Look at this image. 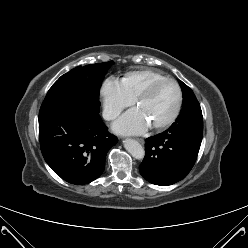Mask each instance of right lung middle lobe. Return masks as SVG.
Returning a JSON list of instances; mask_svg holds the SVG:
<instances>
[{
	"mask_svg": "<svg viewBox=\"0 0 248 248\" xmlns=\"http://www.w3.org/2000/svg\"><path fill=\"white\" fill-rule=\"evenodd\" d=\"M113 61L78 66L62 75L48 91L39 115L65 105L81 95L99 99L101 82Z\"/></svg>",
	"mask_w": 248,
	"mask_h": 248,
	"instance_id": "dd1d6c3e",
	"label": "right lung middle lobe"
}]
</instances>
